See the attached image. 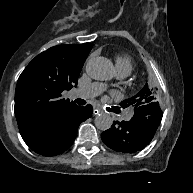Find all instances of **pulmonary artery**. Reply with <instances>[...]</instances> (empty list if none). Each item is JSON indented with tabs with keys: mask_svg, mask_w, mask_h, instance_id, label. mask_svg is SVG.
<instances>
[{
	"mask_svg": "<svg viewBox=\"0 0 193 193\" xmlns=\"http://www.w3.org/2000/svg\"><path fill=\"white\" fill-rule=\"evenodd\" d=\"M127 75L126 74H120L118 75L119 78L123 79L125 78ZM103 92V86L101 83L98 82H94L89 84L88 86H83V87H79L75 92H73V96H83V97H96L99 94H101ZM130 118V114L127 113L125 115V119H129Z\"/></svg>",
	"mask_w": 193,
	"mask_h": 193,
	"instance_id": "pulmonary-artery-1",
	"label": "pulmonary artery"
}]
</instances>
